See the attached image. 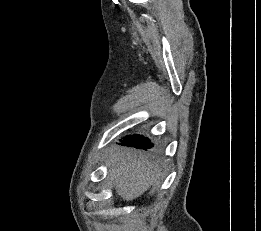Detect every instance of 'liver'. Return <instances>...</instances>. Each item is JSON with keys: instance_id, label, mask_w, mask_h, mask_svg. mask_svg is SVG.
Here are the masks:
<instances>
[{"instance_id": "6515ba94", "label": "liver", "mask_w": 261, "mask_h": 231, "mask_svg": "<svg viewBox=\"0 0 261 231\" xmlns=\"http://www.w3.org/2000/svg\"><path fill=\"white\" fill-rule=\"evenodd\" d=\"M107 163L108 177L123 200L131 201L141 196L157 182L151 162L129 150L114 152Z\"/></svg>"}]
</instances>
